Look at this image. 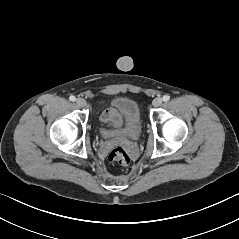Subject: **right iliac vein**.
<instances>
[{
	"mask_svg": "<svg viewBox=\"0 0 239 239\" xmlns=\"http://www.w3.org/2000/svg\"><path fill=\"white\" fill-rule=\"evenodd\" d=\"M76 104H77L79 107H84V106L86 105V101H85V99H83V98H77Z\"/></svg>",
	"mask_w": 239,
	"mask_h": 239,
	"instance_id": "63e3f726",
	"label": "right iliac vein"
}]
</instances>
